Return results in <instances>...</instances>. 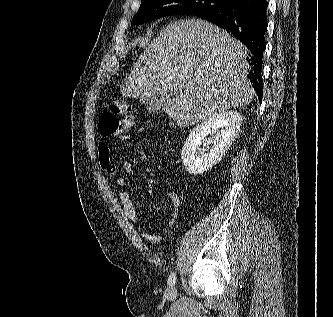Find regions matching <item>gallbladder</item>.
Masks as SVG:
<instances>
[{
	"mask_svg": "<svg viewBox=\"0 0 333 317\" xmlns=\"http://www.w3.org/2000/svg\"><path fill=\"white\" fill-rule=\"evenodd\" d=\"M141 103L149 112L161 113L165 110L167 104V97L166 96L145 97L141 99Z\"/></svg>",
	"mask_w": 333,
	"mask_h": 317,
	"instance_id": "obj_1",
	"label": "gallbladder"
}]
</instances>
